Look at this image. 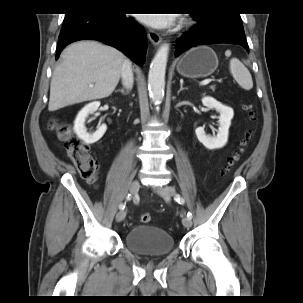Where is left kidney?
Listing matches in <instances>:
<instances>
[{"instance_id":"5707ae66","label":"left kidney","mask_w":303,"mask_h":303,"mask_svg":"<svg viewBox=\"0 0 303 303\" xmlns=\"http://www.w3.org/2000/svg\"><path fill=\"white\" fill-rule=\"evenodd\" d=\"M202 104L208 108L215 109L220 113L219 128L215 137L206 135L203 127H198L195 130L196 136L207 149H219L226 145L228 141L229 127L234 116V111L231 107L225 106L213 97H203Z\"/></svg>"}]
</instances>
